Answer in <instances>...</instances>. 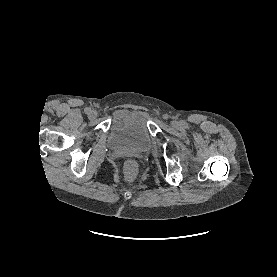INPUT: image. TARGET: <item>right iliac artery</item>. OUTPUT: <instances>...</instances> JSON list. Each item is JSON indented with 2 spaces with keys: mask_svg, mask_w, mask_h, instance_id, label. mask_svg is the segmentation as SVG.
I'll list each match as a JSON object with an SVG mask.
<instances>
[{
  "mask_svg": "<svg viewBox=\"0 0 277 277\" xmlns=\"http://www.w3.org/2000/svg\"><path fill=\"white\" fill-rule=\"evenodd\" d=\"M84 111H85L86 114H89L91 112V109L90 108H85Z\"/></svg>",
  "mask_w": 277,
  "mask_h": 277,
  "instance_id": "1",
  "label": "right iliac artery"
}]
</instances>
